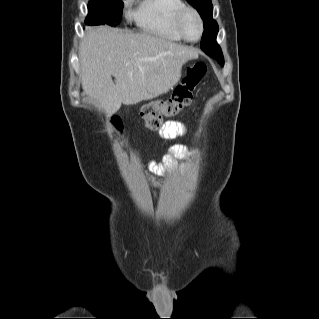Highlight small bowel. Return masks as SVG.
<instances>
[{
  "mask_svg": "<svg viewBox=\"0 0 319 319\" xmlns=\"http://www.w3.org/2000/svg\"><path fill=\"white\" fill-rule=\"evenodd\" d=\"M186 133V127L184 124L178 121L166 122L158 132L161 139L174 140L181 138ZM191 154V149L184 144L175 143L169 147L168 153L163 157V162L158 163L152 160L148 163L149 171L157 176L164 175L169 169L174 167L173 157L185 158ZM151 184L154 189L159 187V183L155 180H151Z\"/></svg>",
  "mask_w": 319,
  "mask_h": 319,
  "instance_id": "1",
  "label": "small bowel"
}]
</instances>
